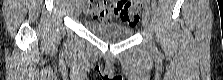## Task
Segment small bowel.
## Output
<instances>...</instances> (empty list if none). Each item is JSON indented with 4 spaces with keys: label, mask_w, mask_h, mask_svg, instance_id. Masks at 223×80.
I'll use <instances>...</instances> for the list:
<instances>
[{
    "label": "small bowel",
    "mask_w": 223,
    "mask_h": 80,
    "mask_svg": "<svg viewBox=\"0 0 223 80\" xmlns=\"http://www.w3.org/2000/svg\"><path fill=\"white\" fill-rule=\"evenodd\" d=\"M86 13L96 20H110L113 16H117L114 14L111 5L106 3L89 4L86 7Z\"/></svg>",
    "instance_id": "small-bowel-1"
}]
</instances>
